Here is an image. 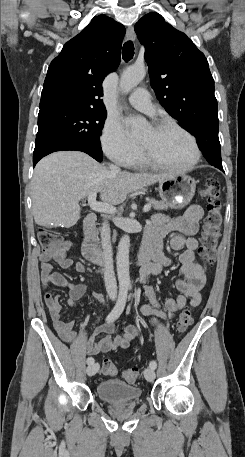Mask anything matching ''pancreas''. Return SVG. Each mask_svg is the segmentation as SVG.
Here are the masks:
<instances>
[{
	"label": "pancreas",
	"instance_id": "1",
	"mask_svg": "<svg viewBox=\"0 0 245 457\" xmlns=\"http://www.w3.org/2000/svg\"><path fill=\"white\" fill-rule=\"evenodd\" d=\"M147 200L150 202V204H152L155 210H166V208H169V206H171V208H175V206H172V204H168V202H161V200H155V198H147ZM94 235H98L97 229H95ZM96 241H99L98 237H96Z\"/></svg>",
	"mask_w": 245,
	"mask_h": 457
}]
</instances>
